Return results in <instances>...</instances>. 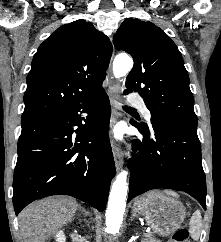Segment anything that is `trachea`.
Instances as JSON below:
<instances>
[{
  "mask_svg": "<svg viewBox=\"0 0 221 242\" xmlns=\"http://www.w3.org/2000/svg\"><path fill=\"white\" fill-rule=\"evenodd\" d=\"M123 108L127 111H130V112H135L136 110L131 108V107H128V106H123Z\"/></svg>",
  "mask_w": 221,
  "mask_h": 242,
  "instance_id": "obj_1",
  "label": "trachea"
}]
</instances>
